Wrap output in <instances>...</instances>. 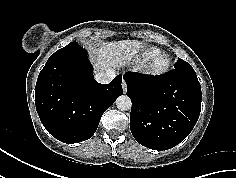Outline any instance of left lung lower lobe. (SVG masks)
I'll return each instance as SVG.
<instances>
[{
    "label": "left lung lower lobe",
    "instance_id": "0a47b994",
    "mask_svg": "<svg viewBox=\"0 0 236 178\" xmlns=\"http://www.w3.org/2000/svg\"><path fill=\"white\" fill-rule=\"evenodd\" d=\"M132 100L130 129L141 145L167 150L195 126L201 110V86L194 69H173L160 76L126 73Z\"/></svg>",
    "mask_w": 236,
    "mask_h": 178
}]
</instances>
